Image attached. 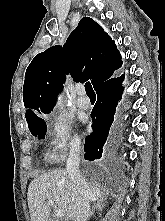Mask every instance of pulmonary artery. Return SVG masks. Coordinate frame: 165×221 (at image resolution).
<instances>
[{"label": "pulmonary artery", "instance_id": "1", "mask_svg": "<svg viewBox=\"0 0 165 221\" xmlns=\"http://www.w3.org/2000/svg\"><path fill=\"white\" fill-rule=\"evenodd\" d=\"M78 93V99H77V106L80 109H88L90 107V100L88 97L85 96V89L83 86L78 87L77 90Z\"/></svg>", "mask_w": 165, "mask_h": 221}]
</instances>
